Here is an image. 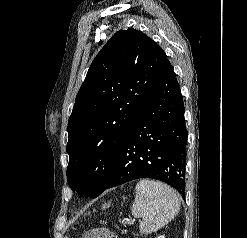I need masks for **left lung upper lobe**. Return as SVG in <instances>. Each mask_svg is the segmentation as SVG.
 I'll return each mask as SVG.
<instances>
[{
    "instance_id": "obj_1",
    "label": "left lung upper lobe",
    "mask_w": 247,
    "mask_h": 238,
    "mask_svg": "<svg viewBox=\"0 0 247 238\" xmlns=\"http://www.w3.org/2000/svg\"><path fill=\"white\" fill-rule=\"evenodd\" d=\"M168 62L160 46L133 28L116 32L93 60L68 122L67 180L97 197L118 150Z\"/></svg>"
}]
</instances>
